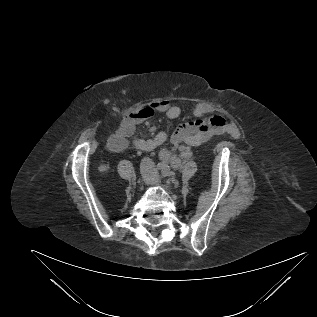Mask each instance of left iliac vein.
<instances>
[{
  "instance_id": "obj_1",
  "label": "left iliac vein",
  "mask_w": 317,
  "mask_h": 317,
  "mask_svg": "<svg viewBox=\"0 0 317 317\" xmlns=\"http://www.w3.org/2000/svg\"><path fill=\"white\" fill-rule=\"evenodd\" d=\"M172 164H173L174 166H177V165H178V162H177V161H173ZM154 174H157V171H154ZM172 174H173V172L170 171V169H169L168 175H172Z\"/></svg>"
}]
</instances>
